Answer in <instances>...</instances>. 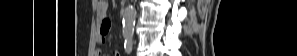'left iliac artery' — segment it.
Masks as SVG:
<instances>
[{"label":"left iliac artery","mask_w":297,"mask_h":56,"mask_svg":"<svg viewBox=\"0 0 297 56\" xmlns=\"http://www.w3.org/2000/svg\"><path fill=\"white\" fill-rule=\"evenodd\" d=\"M132 46H133L132 37H127V39L125 40V44H124V47H125L127 53H130L132 51Z\"/></svg>","instance_id":"44dca946"}]
</instances>
